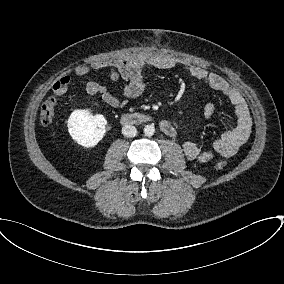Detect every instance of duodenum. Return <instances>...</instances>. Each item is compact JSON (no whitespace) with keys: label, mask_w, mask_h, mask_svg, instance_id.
<instances>
[{"label":"duodenum","mask_w":284,"mask_h":284,"mask_svg":"<svg viewBox=\"0 0 284 284\" xmlns=\"http://www.w3.org/2000/svg\"><path fill=\"white\" fill-rule=\"evenodd\" d=\"M122 123L124 125H139V124H145L150 122L157 121L156 118L153 115L146 114V113H125L122 118ZM158 125L160 130L168 135V136H174L175 135V128L173 124L168 120H158Z\"/></svg>","instance_id":"1"}]
</instances>
